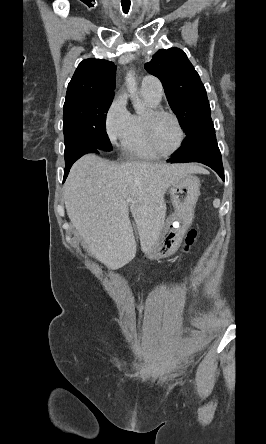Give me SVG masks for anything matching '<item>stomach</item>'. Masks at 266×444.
I'll list each match as a JSON object with an SVG mask.
<instances>
[{
    "mask_svg": "<svg viewBox=\"0 0 266 444\" xmlns=\"http://www.w3.org/2000/svg\"><path fill=\"white\" fill-rule=\"evenodd\" d=\"M174 213L168 218L158 239L144 251L149 258L168 255L173 251V244L166 251L165 244L181 237L192 222L193 212L200 195V181L196 176L187 175L175 182L169 189ZM165 247V250L163 248Z\"/></svg>",
    "mask_w": 266,
    "mask_h": 444,
    "instance_id": "1",
    "label": "stomach"
}]
</instances>
